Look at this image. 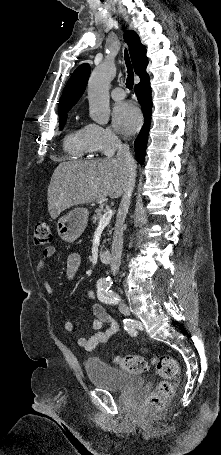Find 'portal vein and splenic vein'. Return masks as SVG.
I'll list each match as a JSON object with an SVG mask.
<instances>
[{
	"label": "portal vein and splenic vein",
	"mask_w": 221,
	"mask_h": 455,
	"mask_svg": "<svg viewBox=\"0 0 221 455\" xmlns=\"http://www.w3.org/2000/svg\"><path fill=\"white\" fill-rule=\"evenodd\" d=\"M112 216H113V210L109 209L101 217V219H100V221L98 223V226L99 227H105L106 225H108L110 223V220H111Z\"/></svg>",
	"instance_id": "18ae733b"
}]
</instances>
